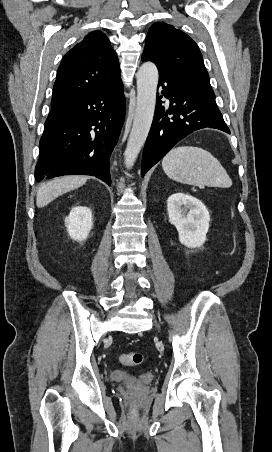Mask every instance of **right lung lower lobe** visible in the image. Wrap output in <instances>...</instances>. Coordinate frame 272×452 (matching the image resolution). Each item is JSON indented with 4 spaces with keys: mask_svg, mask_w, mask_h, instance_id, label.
Instances as JSON below:
<instances>
[{
    "mask_svg": "<svg viewBox=\"0 0 272 452\" xmlns=\"http://www.w3.org/2000/svg\"><path fill=\"white\" fill-rule=\"evenodd\" d=\"M125 117L121 79L51 110L40 140L37 182L55 176H95L111 186L109 159Z\"/></svg>",
    "mask_w": 272,
    "mask_h": 452,
    "instance_id": "obj_1",
    "label": "right lung lower lobe"
}]
</instances>
